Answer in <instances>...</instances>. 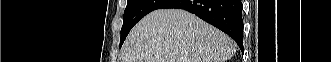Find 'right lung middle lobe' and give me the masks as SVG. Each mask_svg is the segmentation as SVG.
Returning a JSON list of instances; mask_svg holds the SVG:
<instances>
[{
	"label": "right lung middle lobe",
	"instance_id": "dd1d6c3e",
	"mask_svg": "<svg viewBox=\"0 0 331 62\" xmlns=\"http://www.w3.org/2000/svg\"><path fill=\"white\" fill-rule=\"evenodd\" d=\"M171 1L172 0H128L124 11L120 46L123 44L132 27L141 18L153 10L163 8Z\"/></svg>",
	"mask_w": 331,
	"mask_h": 62
}]
</instances>
